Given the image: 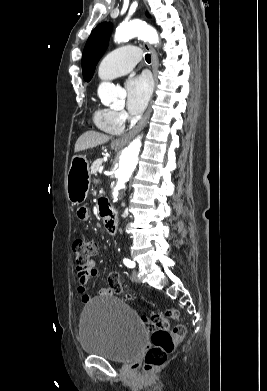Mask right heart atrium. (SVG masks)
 <instances>
[{
	"label": "right heart atrium",
	"mask_w": 267,
	"mask_h": 391,
	"mask_svg": "<svg viewBox=\"0 0 267 391\" xmlns=\"http://www.w3.org/2000/svg\"><path fill=\"white\" fill-rule=\"evenodd\" d=\"M115 116L121 123H124L127 118V114L124 111H115Z\"/></svg>",
	"instance_id": "obj_1"
}]
</instances>
